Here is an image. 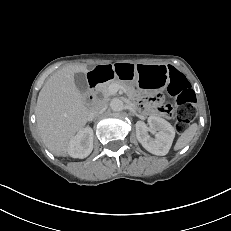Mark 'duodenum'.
<instances>
[{"mask_svg":"<svg viewBox=\"0 0 231 231\" xmlns=\"http://www.w3.org/2000/svg\"><path fill=\"white\" fill-rule=\"evenodd\" d=\"M103 78H104L103 69L99 71H95L89 76L90 93L86 95V99L88 101H90L94 97L96 86L100 81H102Z\"/></svg>","mask_w":231,"mask_h":231,"instance_id":"obj_1","label":"duodenum"}]
</instances>
